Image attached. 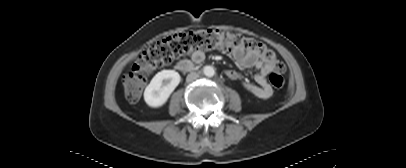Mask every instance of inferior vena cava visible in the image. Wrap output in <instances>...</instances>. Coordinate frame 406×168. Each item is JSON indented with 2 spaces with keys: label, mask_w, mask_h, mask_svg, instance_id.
Segmentation results:
<instances>
[{
  "label": "inferior vena cava",
  "mask_w": 406,
  "mask_h": 168,
  "mask_svg": "<svg viewBox=\"0 0 406 168\" xmlns=\"http://www.w3.org/2000/svg\"><path fill=\"white\" fill-rule=\"evenodd\" d=\"M199 78V74L196 72H191L187 75L186 81L187 82H193Z\"/></svg>",
  "instance_id": "inferior-vena-cava-1"
}]
</instances>
